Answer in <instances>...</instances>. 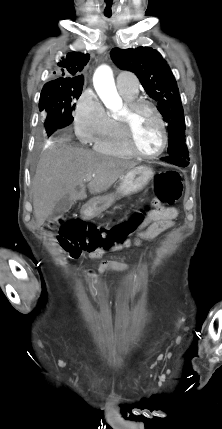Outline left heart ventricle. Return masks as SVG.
<instances>
[{"label":"left heart ventricle","mask_w":222,"mask_h":429,"mask_svg":"<svg viewBox=\"0 0 222 429\" xmlns=\"http://www.w3.org/2000/svg\"><path fill=\"white\" fill-rule=\"evenodd\" d=\"M125 111L123 108L122 113ZM134 140L144 153L157 152L162 145V132L155 115L149 109L138 111L133 120Z\"/></svg>","instance_id":"left-heart-ventricle-1"}]
</instances>
